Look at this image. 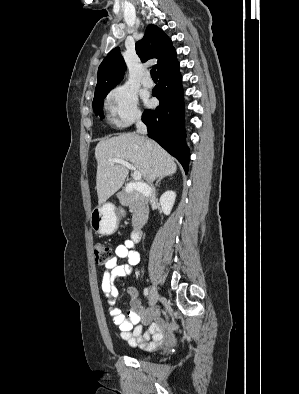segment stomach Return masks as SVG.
I'll list each match as a JSON object with an SVG mask.
<instances>
[{
  "label": "stomach",
  "instance_id": "obj_1",
  "mask_svg": "<svg viewBox=\"0 0 299 394\" xmlns=\"http://www.w3.org/2000/svg\"><path fill=\"white\" fill-rule=\"evenodd\" d=\"M119 215L112 203H104L94 208L90 215L92 229L101 235H111L118 226Z\"/></svg>",
  "mask_w": 299,
  "mask_h": 394
}]
</instances>
